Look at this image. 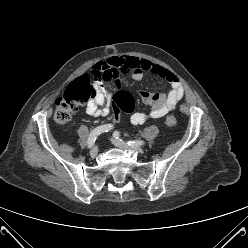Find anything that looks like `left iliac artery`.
Segmentation results:
<instances>
[{
  "label": "left iliac artery",
  "mask_w": 248,
  "mask_h": 248,
  "mask_svg": "<svg viewBox=\"0 0 248 248\" xmlns=\"http://www.w3.org/2000/svg\"><path fill=\"white\" fill-rule=\"evenodd\" d=\"M113 136L116 138V139H119L120 141H123L121 138H120V133L118 131H115L113 133ZM129 145H138V146H141V145H144L145 142L142 141V140H133V141H128L127 142Z\"/></svg>",
  "instance_id": "1"
}]
</instances>
